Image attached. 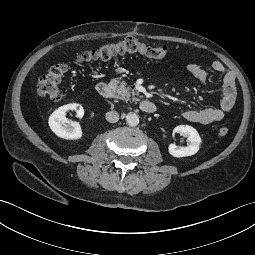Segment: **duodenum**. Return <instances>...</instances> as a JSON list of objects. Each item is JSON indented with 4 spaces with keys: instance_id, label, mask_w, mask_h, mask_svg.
<instances>
[{
    "instance_id": "1",
    "label": "duodenum",
    "mask_w": 255,
    "mask_h": 255,
    "mask_svg": "<svg viewBox=\"0 0 255 255\" xmlns=\"http://www.w3.org/2000/svg\"><path fill=\"white\" fill-rule=\"evenodd\" d=\"M97 92L104 98L112 97V90L106 82H98L96 85ZM140 109L145 113H153L156 111V105L153 101L143 100L140 103Z\"/></svg>"
}]
</instances>
